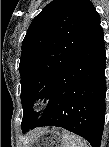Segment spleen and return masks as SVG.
Returning <instances> with one entry per match:
<instances>
[{"mask_svg":"<svg viewBox=\"0 0 109 147\" xmlns=\"http://www.w3.org/2000/svg\"><path fill=\"white\" fill-rule=\"evenodd\" d=\"M64 147H89L87 141L78 135L65 131L63 134Z\"/></svg>","mask_w":109,"mask_h":147,"instance_id":"spleen-1","label":"spleen"}]
</instances>
